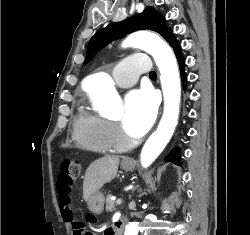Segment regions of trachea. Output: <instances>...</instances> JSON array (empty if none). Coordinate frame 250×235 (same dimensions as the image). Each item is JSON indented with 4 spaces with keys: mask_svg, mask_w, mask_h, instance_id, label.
I'll return each mask as SVG.
<instances>
[{
    "mask_svg": "<svg viewBox=\"0 0 250 235\" xmlns=\"http://www.w3.org/2000/svg\"><path fill=\"white\" fill-rule=\"evenodd\" d=\"M149 76H150V77H156V72H155V71H151V72L149 73Z\"/></svg>",
    "mask_w": 250,
    "mask_h": 235,
    "instance_id": "1",
    "label": "trachea"
}]
</instances>
